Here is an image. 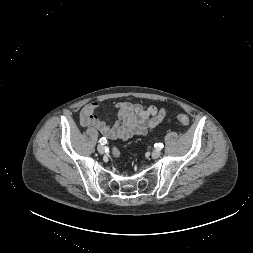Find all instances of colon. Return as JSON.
Here are the masks:
<instances>
[{
    "label": "colon",
    "mask_w": 253,
    "mask_h": 253,
    "mask_svg": "<svg viewBox=\"0 0 253 253\" xmlns=\"http://www.w3.org/2000/svg\"><path fill=\"white\" fill-rule=\"evenodd\" d=\"M178 121L184 126L187 127L189 125V118L187 115L183 114V113H178L176 115ZM112 154L115 158H119L120 157V151L118 150L117 147H113L112 148Z\"/></svg>",
    "instance_id": "colon-1"
}]
</instances>
